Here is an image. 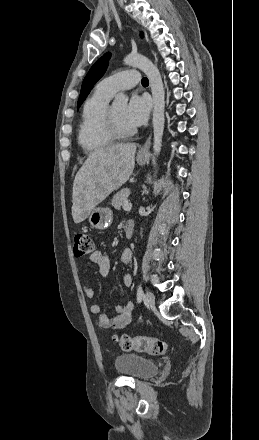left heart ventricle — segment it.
Wrapping results in <instances>:
<instances>
[{
	"instance_id": "b2bd125f",
	"label": "left heart ventricle",
	"mask_w": 259,
	"mask_h": 440,
	"mask_svg": "<svg viewBox=\"0 0 259 440\" xmlns=\"http://www.w3.org/2000/svg\"><path fill=\"white\" fill-rule=\"evenodd\" d=\"M112 107L119 126L123 129H132L133 127L128 123L125 117L126 105L115 104Z\"/></svg>"
}]
</instances>
